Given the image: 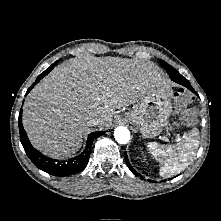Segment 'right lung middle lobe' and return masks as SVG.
<instances>
[{"instance_id": "dd1d6c3e", "label": "right lung middle lobe", "mask_w": 221, "mask_h": 221, "mask_svg": "<svg viewBox=\"0 0 221 221\" xmlns=\"http://www.w3.org/2000/svg\"><path fill=\"white\" fill-rule=\"evenodd\" d=\"M57 63H58V61H56L55 63H53V64L51 65V67H54Z\"/></svg>"}]
</instances>
